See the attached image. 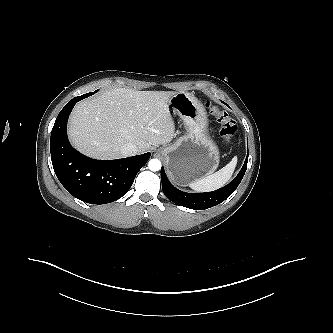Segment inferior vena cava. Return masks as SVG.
<instances>
[{"label":"inferior vena cava","mask_w":333,"mask_h":333,"mask_svg":"<svg viewBox=\"0 0 333 333\" xmlns=\"http://www.w3.org/2000/svg\"><path fill=\"white\" fill-rule=\"evenodd\" d=\"M120 151L124 157L133 156L139 152L138 147L133 143L123 145Z\"/></svg>","instance_id":"obj_1"}]
</instances>
